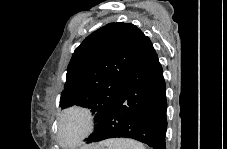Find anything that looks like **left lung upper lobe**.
<instances>
[{"mask_svg": "<svg viewBox=\"0 0 227 149\" xmlns=\"http://www.w3.org/2000/svg\"><path fill=\"white\" fill-rule=\"evenodd\" d=\"M144 36L129 23H109L90 34L72 55L60 106L91 109L96 128L122 89Z\"/></svg>", "mask_w": 227, "mask_h": 149, "instance_id": "1", "label": "left lung upper lobe"}]
</instances>
